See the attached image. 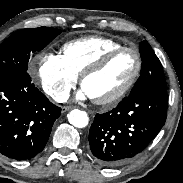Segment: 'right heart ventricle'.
Wrapping results in <instances>:
<instances>
[{
	"instance_id": "obj_1",
	"label": "right heart ventricle",
	"mask_w": 183,
	"mask_h": 183,
	"mask_svg": "<svg viewBox=\"0 0 183 183\" xmlns=\"http://www.w3.org/2000/svg\"><path fill=\"white\" fill-rule=\"evenodd\" d=\"M120 46V42L108 37L88 36L66 43L63 46V58L67 66L80 76L106 52Z\"/></svg>"
}]
</instances>
